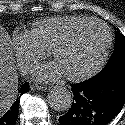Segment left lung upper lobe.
I'll return each instance as SVG.
<instances>
[{"label": "left lung upper lobe", "mask_w": 125, "mask_h": 125, "mask_svg": "<svg viewBox=\"0 0 125 125\" xmlns=\"http://www.w3.org/2000/svg\"><path fill=\"white\" fill-rule=\"evenodd\" d=\"M121 68H125V37L120 32H116V42L113 54L101 72L92 77V79L96 80L103 75Z\"/></svg>", "instance_id": "obj_1"}]
</instances>
